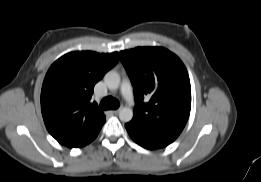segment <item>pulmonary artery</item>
Instances as JSON below:
<instances>
[{"label":"pulmonary artery","instance_id":"pulmonary-artery-1","mask_svg":"<svg viewBox=\"0 0 261 182\" xmlns=\"http://www.w3.org/2000/svg\"><path fill=\"white\" fill-rule=\"evenodd\" d=\"M121 94L129 104L134 103V95H133L132 87L128 80H123L121 84Z\"/></svg>","mask_w":261,"mask_h":182}]
</instances>
